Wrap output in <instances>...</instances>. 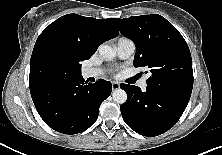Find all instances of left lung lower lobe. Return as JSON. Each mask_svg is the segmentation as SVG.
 I'll use <instances>...</instances> for the list:
<instances>
[{
    "label": "left lung lower lobe",
    "mask_w": 222,
    "mask_h": 155,
    "mask_svg": "<svg viewBox=\"0 0 222 155\" xmlns=\"http://www.w3.org/2000/svg\"><path fill=\"white\" fill-rule=\"evenodd\" d=\"M127 92V101L121 105L124 122L143 136H158L173 127L183 114L190 97L171 91L121 84Z\"/></svg>",
    "instance_id": "obj_1"
}]
</instances>
